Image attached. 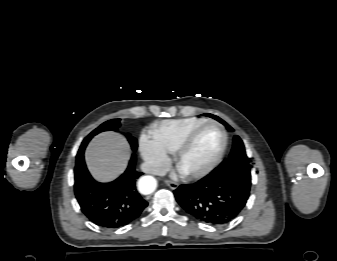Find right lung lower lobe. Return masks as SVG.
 I'll return each instance as SVG.
<instances>
[{"label": "right lung lower lobe", "mask_w": 337, "mask_h": 261, "mask_svg": "<svg viewBox=\"0 0 337 261\" xmlns=\"http://www.w3.org/2000/svg\"><path fill=\"white\" fill-rule=\"evenodd\" d=\"M135 154L127 170L110 183L96 182L89 174L84 150H79L74 169V191L82 212L96 225L116 229L136 220L148 203L136 189L143 174L135 170Z\"/></svg>", "instance_id": "98d812e1"}]
</instances>
